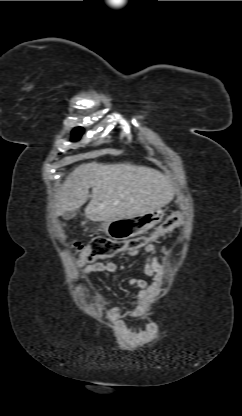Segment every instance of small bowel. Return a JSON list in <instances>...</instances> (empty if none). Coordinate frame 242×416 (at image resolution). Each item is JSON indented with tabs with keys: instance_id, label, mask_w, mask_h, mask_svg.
<instances>
[{
	"instance_id": "c3829d8e",
	"label": "small bowel",
	"mask_w": 242,
	"mask_h": 416,
	"mask_svg": "<svg viewBox=\"0 0 242 416\" xmlns=\"http://www.w3.org/2000/svg\"><path fill=\"white\" fill-rule=\"evenodd\" d=\"M143 251L146 254L144 272L149 279L141 277H131L128 284L131 287L140 290L137 298L128 302L129 308L125 309L121 306L110 308L106 314L109 321L123 334L127 335L128 330L125 325V318H139L146 314L151 303L154 301L157 291L163 283L165 271L163 261L171 256V250L162 247L160 254L153 245H147ZM137 250L126 252L128 256L137 254ZM118 270L116 262L93 263L83 267L82 272L85 275L86 282L89 283V275L92 273L111 274Z\"/></svg>"
}]
</instances>
